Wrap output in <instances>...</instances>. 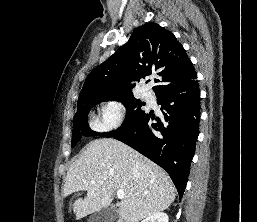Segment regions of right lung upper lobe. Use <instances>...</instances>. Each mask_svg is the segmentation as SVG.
<instances>
[{"mask_svg": "<svg viewBox=\"0 0 257 222\" xmlns=\"http://www.w3.org/2000/svg\"><path fill=\"white\" fill-rule=\"evenodd\" d=\"M157 74L152 89L183 84L196 76L186 51L168 30L150 22L136 28L128 42L86 78L78 103L95 96L133 95V80Z\"/></svg>", "mask_w": 257, "mask_h": 222, "instance_id": "obj_1", "label": "right lung upper lobe"}]
</instances>
